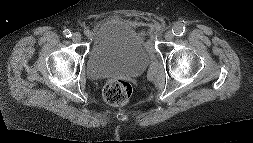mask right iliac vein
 Returning a JSON list of instances; mask_svg holds the SVG:
<instances>
[{"mask_svg":"<svg viewBox=\"0 0 253 143\" xmlns=\"http://www.w3.org/2000/svg\"><path fill=\"white\" fill-rule=\"evenodd\" d=\"M82 39V36L80 33L76 32L72 35V41L75 42V43H78L80 42Z\"/></svg>","mask_w":253,"mask_h":143,"instance_id":"63e3f726","label":"right iliac vein"}]
</instances>
